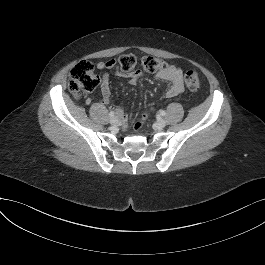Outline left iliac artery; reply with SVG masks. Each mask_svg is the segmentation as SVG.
Instances as JSON below:
<instances>
[{
  "mask_svg": "<svg viewBox=\"0 0 265 265\" xmlns=\"http://www.w3.org/2000/svg\"><path fill=\"white\" fill-rule=\"evenodd\" d=\"M160 115L165 116L166 115V112L164 110H161L160 111Z\"/></svg>",
  "mask_w": 265,
  "mask_h": 265,
  "instance_id": "obj_1",
  "label": "left iliac artery"
}]
</instances>
